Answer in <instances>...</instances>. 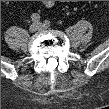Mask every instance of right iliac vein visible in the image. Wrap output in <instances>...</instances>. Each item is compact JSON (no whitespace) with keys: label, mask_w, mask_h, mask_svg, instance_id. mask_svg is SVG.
<instances>
[{"label":"right iliac vein","mask_w":109,"mask_h":109,"mask_svg":"<svg viewBox=\"0 0 109 109\" xmlns=\"http://www.w3.org/2000/svg\"><path fill=\"white\" fill-rule=\"evenodd\" d=\"M40 26L37 23H32L29 27L30 32H36Z\"/></svg>","instance_id":"obj_1"}]
</instances>
